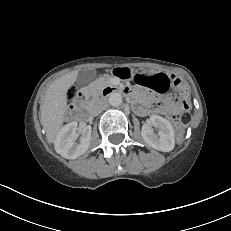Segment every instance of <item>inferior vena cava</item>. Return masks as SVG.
Returning a JSON list of instances; mask_svg holds the SVG:
<instances>
[{"label":"inferior vena cava","mask_w":231,"mask_h":231,"mask_svg":"<svg viewBox=\"0 0 231 231\" xmlns=\"http://www.w3.org/2000/svg\"><path fill=\"white\" fill-rule=\"evenodd\" d=\"M106 105H101V106H98L96 108V110L94 111V115H98L99 113H101L104 109H105Z\"/></svg>","instance_id":"602c4592"}]
</instances>
